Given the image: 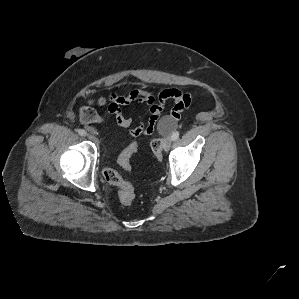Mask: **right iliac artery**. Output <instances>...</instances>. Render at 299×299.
<instances>
[{"mask_svg": "<svg viewBox=\"0 0 299 299\" xmlns=\"http://www.w3.org/2000/svg\"><path fill=\"white\" fill-rule=\"evenodd\" d=\"M78 134L81 135V136H86L87 133H86L85 130H83V129H79V130H78Z\"/></svg>", "mask_w": 299, "mask_h": 299, "instance_id": "1", "label": "right iliac artery"}]
</instances>
